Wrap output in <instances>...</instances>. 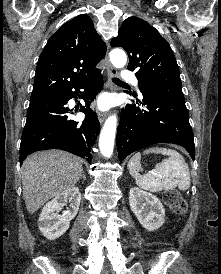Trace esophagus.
Returning <instances> with one entry per match:
<instances>
[{
    "label": "esophagus",
    "instance_id": "obj_1",
    "mask_svg": "<svg viewBox=\"0 0 221 274\" xmlns=\"http://www.w3.org/2000/svg\"><path fill=\"white\" fill-rule=\"evenodd\" d=\"M106 62H107V76H108V86L112 87V82L111 78L115 77L117 75V71L115 68L112 67L110 62L108 61V58L106 57ZM106 113H99L98 114V120L100 123H103L104 120L106 119Z\"/></svg>",
    "mask_w": 221,
    "mask_h": 274
}]
</instances>
